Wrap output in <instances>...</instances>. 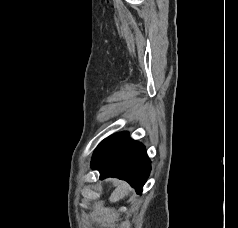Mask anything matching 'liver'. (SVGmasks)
I'll list each match as a JSON object with an SVG mask.
<instances>
[{"mask_svg":"<svg viewBox=\"0 0 238 228\" xmlns=\"http://www.w3.org/2000/svg\"><path fill=\"white\" fill-rule=\"evenodd\" d=\"M110 180H107V182ZM130 186L124 182V181H119L117 182V187L113 190L109 197V201L111 203H116L125 197H127L130 194Z\"/></svg>","mask_w":238,"mask_h":228,"instance_id":"obj_1","label":"liver"}]
</instances>
